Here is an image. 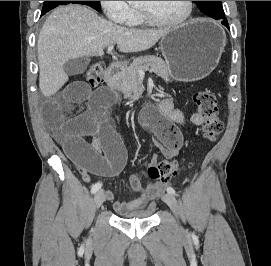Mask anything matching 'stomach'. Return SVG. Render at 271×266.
I'll return each instance as SVG.
<instances>
[{
    "mask_svg": "<svg viewBox=\"0 0 271 266\" xmlns=\"http://www.w3.org/2000/svg\"><path fill=\"white\" fill-rule=\"evenodd\" d=\"M225 45L224 30L206 19L170 29L160 41L170 77L181 82L208 76L218 65Z\"/></svg>",
    "mask_w": 271,
    "mask_h": 266,
    "instance_id": "stomach-1",
    "label": "stomach"
}]
</instances>
